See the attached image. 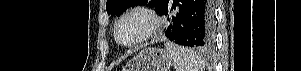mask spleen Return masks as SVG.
I'll return each instance as SVG.
<instances>
[{
	"label": "spleen",
	"mask_w": 301,
	"mask_h": 71,
	"mask_svg": "<svg viewBox=\"0 0 301 71\" xmlns=\"http://www.w3.org/2000/svg\"><path fill=\"white\" fill-rule=\"evenodd\" d=\"M164 46L175 71H204L205 65L195 52L171 42L165 43Z\"/></svg>",
	"instance_id": "obj_1"
}]
</instances>
